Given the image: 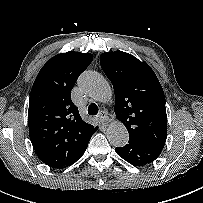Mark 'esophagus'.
<instances>
[{
    "label": "esophagus",
    "mask_w": 203,
    "mask_h": 203,
    "mask_svg": "<svg viewBox=\"0 0 203 203\" xmlns=\"http://www.w3.org/2000/svg\"><path fill=\"white\" fill-rule=\"evenodd\" d=\"M98 118L101 122H107L109 120V117L107 115V113L105 111H101L99 114H98Z\"/></svg>",
    "instance_id": "obj_1"
}]
</instances>
